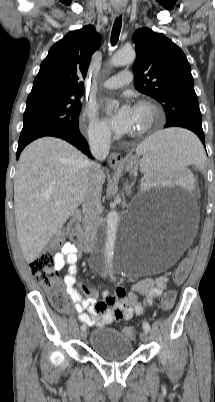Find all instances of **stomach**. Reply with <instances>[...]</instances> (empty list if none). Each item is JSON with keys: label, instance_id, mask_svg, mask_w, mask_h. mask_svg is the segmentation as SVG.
Masks as SVG:
<instances>
[{"label": "stomach", "instance_id": "1", "mask_svg": "<svg viewBox=\"0 0 215 402\" xmlns=\"http://www.w3.org/2000/svg\"><path fill=\"white\" fill-rule=\"evenodd\" d=\"M139 166V162L136 158H129L125 162V170L128 172H134Z\"/></svg>", "mask_w": 215, "mask_h": 402}]
</instances>
